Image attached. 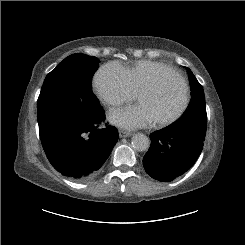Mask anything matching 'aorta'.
Listing matches in <instances>:
<instances>
[{
    "instance_id": "762f6f07",
    "label": "aorta",
    "mask_w": 245,
    "mask_h": 245,
    "mask_svg": "<svg viewBox=\"0 0 245 245\" xmlns=\"http://www.w3.org/2000/svg\"><path fill=\"white\" fill-rule=\"evenodd\" d=\"M131 143L132 147L139 152L147 151L150 147L149 138L142 133L135 134Z\"/></svg>"
}]
</instances>
